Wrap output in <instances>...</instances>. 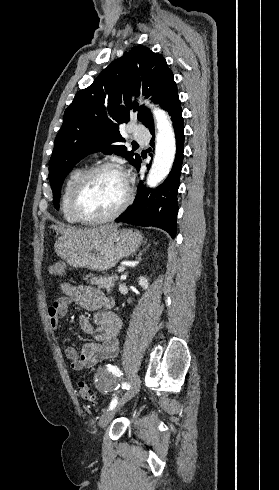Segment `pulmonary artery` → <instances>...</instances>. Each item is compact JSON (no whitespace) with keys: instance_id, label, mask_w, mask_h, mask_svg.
<instances>
[{"instance_id":"pulmonary-artery-1","label":"pulmonary artery","mask_w":279,"mask_h":490,"mask_svg":"<svg viewBox=\"0 0 279 490\" xmlns=\"http://www.w3.org/2000/svg\"><path fill=\"white\" fill-rule=\"evenodd\" d=\"M129 132H135L134 137L136 140H145L146 137H149L150 130L149 128H138L137 131L133 128L131 124L127 125Z\"/></svg>"}]
</instances>
